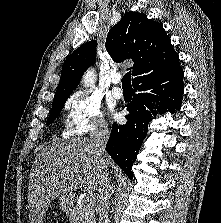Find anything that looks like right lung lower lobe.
<instances>
[{"mask_svg": "<svg viewBox=\"0 0 221 223\" xmlns=\"http://www.w3.org/2000/svg\"><path fill=\"white\" fill-rule=\"evenodd\" d=\"M184 72L181 66L158 77L140 79L133 83V100L127 105V123L113 124L107 151L113 160L132 179V165L146 136L149 121L157 111L175 113L181 108ZM161 102V103H159Z\"/></svg>", "mask_w": 221, "mask_h": 223, "instance_id": "1", "label": "right lung lower lobe"}]
</instances>
